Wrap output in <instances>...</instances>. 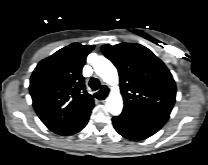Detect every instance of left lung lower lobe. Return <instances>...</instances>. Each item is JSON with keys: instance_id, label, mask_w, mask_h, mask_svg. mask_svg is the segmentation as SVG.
Returning a JSON list of instances; mask_svg holds the SVG:
<instances>
[{"instance_id": "left-lung-lower-lobe-1", "label": "left lung lower lobe", "mask_w": 208, "mask_h": 165, "mask_svg": "<svg viewBox=\"0 0 208 165\" xmlns=\"http://www.w3.org/2000/svg\"><path fill=\"white\" fill-rule=\"evenodd\" d=\"M112 122L115 130L123 137L143 140L159 131L166 120L123 111L119 116L113 117Z\"/></svg>"}]
</instances>
